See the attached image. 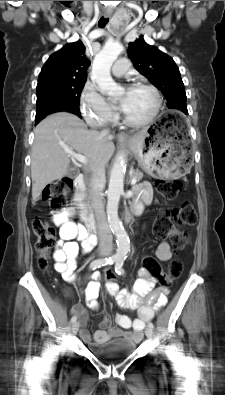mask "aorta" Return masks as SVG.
Here are the masks:
<instances>
[{"label":"aorta","mask_w":225,"mask_h":395,"mask_svg":"<svg viewBox=\"0 0 225 395\" xmlns=\"http://www.w3.org/2000/svg\"><path fill=\"white\" fill-rule=\"evenodd\" d=\"M123 51L120 43H107L95 56L92 67V78L97 83L102 94L116 96L122 88L111 77L110 69L119 54ZM126 171V156L118 154L113 164L107 190V217L109 226L116 237L117 249L115 258L123 261L130 251V240L118 216V205L124 190Z\"/></svg>","instance_id":"1"}]
</instances>
